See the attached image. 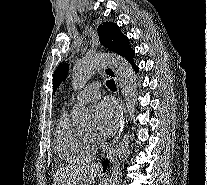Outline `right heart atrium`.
I'll return each mask as SVG.
<instances>
[{
	"instance_id": "d8ad5b80",
	"label": "right heart atrium",
	"mask_w": 207,
	"mask_h": 185,
	"mask_svg": "<svg viewBox=\"0 0 207 185\" xmlns=\"http://www.w3.org/2000/svg\"><path fill=\"white\" fill-rule=\"evenodd\" d=\"M92 138H93L94 140H96V139H97V137H96L95 135H92Z\"/></svg>"
}]
</instances>
